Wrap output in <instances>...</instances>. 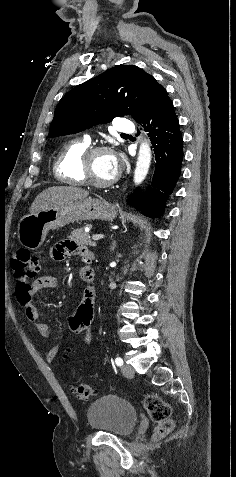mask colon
Returning a JSON list of instances; mask_svg holds the SVG:
<instances>
[{
  "label": "colon",
  "instance_id": "5ec220e1",
  "mask_svg": "<svg viewBox=\"0 0 236 477\" xmlns=\"http://www.w3.org/2000/svg\"><path fill=\"white\" fill-rule=\"evenodd\" d=\"M12 270L17 296L32 289L31 281L40 272V261L37 257L32 256L28 249H19L12 259ZM74 391L82 400L89 399L93 394L92 388L86 383H79L74 387ZM144 406L152 420L159 424L158 434L160 436L172 430L171 408L164 400L157 395H147L144 399Z\"/></svg>",
  "mask_w": 236,
  "mask_h": 477
}]
</instances>
